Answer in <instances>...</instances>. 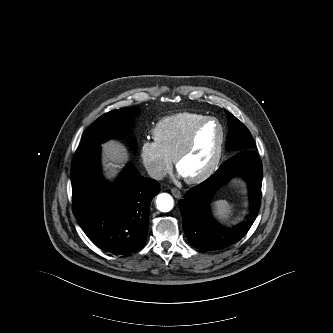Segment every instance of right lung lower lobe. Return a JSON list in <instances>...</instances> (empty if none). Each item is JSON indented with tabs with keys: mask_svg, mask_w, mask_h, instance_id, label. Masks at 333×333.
I'll return each mask as SVG.
<instances>
[{
	"mask_svg": "<svg viewBox=\"0 0 333 333\" xmlns=\"http://www.w3.org/2000/svg\"><path fill=\"white\" fill-rule=\"evenodd\" d=\"M73 212L90 240L104 251L128 254L147 238L149 207L159 183L128 166L114 187L100 173V145L80 146L71 167Z\"/></svg>",
	"mask_w": 333,
	"mask_h": 333,
	"instance_id": "right-lung-lower-lobe-1",
	"label": "right lung lower lobe"
}]
</instances>
